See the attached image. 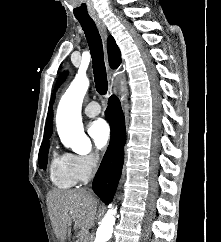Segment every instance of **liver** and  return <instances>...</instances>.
<instances>
[{
  "instance_id": "obj_1",
  "label": "liver",
  "mask_w": 221,
  "mask_h": 242,
  "mask_svg": "<svg viewBox=\"0 0 221 242\" xmlns=\"http://www.w3.org/2000/svg\"><path fill=\"white\" fill-rule=\"evenodd\" d=\"M47 205L57 239L65 242L67 233L74 222V230L89 229L97 211L96 198L84 189L48 193Z\"/></svg>"
}]
</instances>
